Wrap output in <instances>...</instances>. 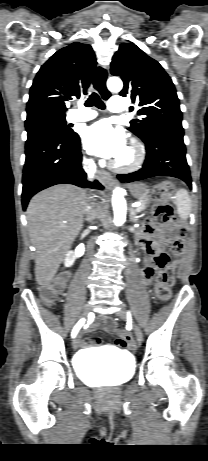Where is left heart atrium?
I'll return each mask as SVG.
<instances>
[{
	"label": "left heart atrium",
	"mask_w": 208,
	"mask_h": 461,
	"mask_svg": "<svg viewBox=\"0 0 208 461\" xmlns=\"http://www.w3.org/2000/svg\"><path fill=\"white\" fill-rule=\"evenodd\" d=\"M83 142L91 154L109 159L119 158L126 148L124 132L119 128H113L106 120L98 121L86 128Z\"/></svg>",
	"instance_id": "left-heart-atrium-1"
}]
</instances>
